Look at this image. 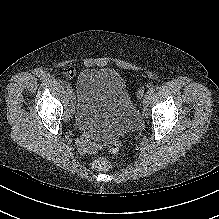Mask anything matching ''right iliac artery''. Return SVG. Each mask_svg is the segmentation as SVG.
<instances>
[{
    "label": "right iliac artery",
    "mask_w": 219,
    "mask_h": 219,
    "mask_svg": "<svg viewBox=\"0 0 219 219\" xmlns=\"http://www.w3.org/2000/svg\"><path fill=\"white\" fill-rule=\"evenodd\" d=\"M63 84L65 85L66 88L68 89L70 88V84L68 82H64Z\"/></svg>",
    "instance_id": "82829eb1"
}]
</instances>
